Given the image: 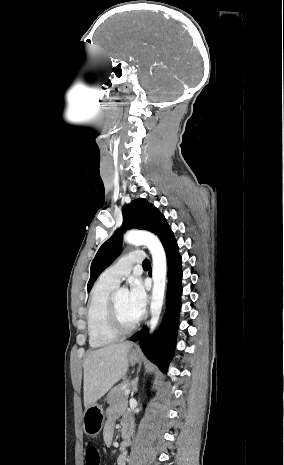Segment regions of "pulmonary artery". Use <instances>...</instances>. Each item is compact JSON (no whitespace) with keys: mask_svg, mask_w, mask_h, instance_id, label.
I'll return each mask as SVG.
<instances>
[{"mask_svg":"<svg viewBox=\"0 0 284 465\" xmlns=\"http://www.w3.org/2000/svg\"><path fill=\"white\" fill-rule=\"evenodd\" d=\"M120 260V263L106 269L101 274V281L118 285L130 273L133 263L145 261V253L142 250H133L131 254H122Z\"/></svg>","mask_w":284,"mask_h":465,"instance_id":"1","label":"pulmonary artery"}]
</instances>
